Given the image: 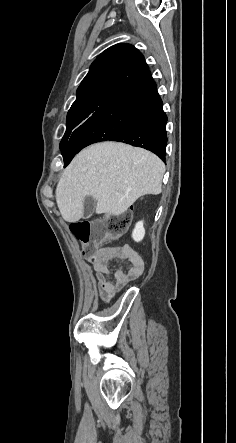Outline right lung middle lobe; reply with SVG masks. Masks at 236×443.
<instances>
[{
	"instance_id": "right-lung-middle-lobe-1",
	"label": "right lung middle lobe",
	"mask_w": 236,
	"mask_h": 443,
	"mask_svg": "<svg viewBox=\"0 0 236 443\" xmlns=\"http://www.w3.org/2000/svg\"><path fill=\"white\" fill-rule=\"evenodd\" d=\"M109 97V95H101L90 98L70 108L67 115V130L60 143V149L66 150L70 139L77 132L88 118L96 111V109Z\"/></svg>"
}]
</instances>
